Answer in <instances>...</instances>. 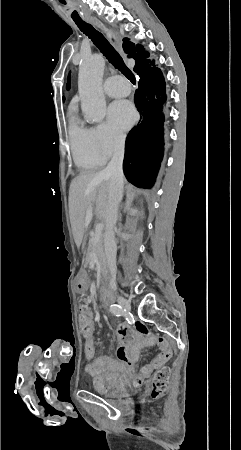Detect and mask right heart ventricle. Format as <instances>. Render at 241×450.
<instances>
[{
    "label": "right heart ventricle",
    "mask_w": 241,
    "mask_h": 450,
    "mask_svg": "<svg viewBox=\"0 0 241 450\" xmlns=\"http://www.w3.org/2000/svg\"><path fill=\"white\" fill-rule=\"evenodd\" d=\"M97 129L89 128L78 121L77 118L72 117L69 123V141L74 161L80 168H95L102 166L106 160L101 158L94 151V144L92 138V131Z\"/></svg>",
    "instance_id": "e07e8e85"
}]
</instances>
